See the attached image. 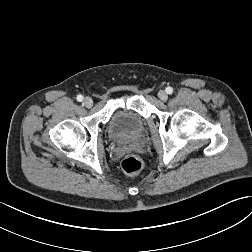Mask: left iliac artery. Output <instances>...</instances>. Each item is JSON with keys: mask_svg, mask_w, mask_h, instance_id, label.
<instances>
[{"mask_svg": "<svg viewBox=\"0 0 252 252\" xmlns=\"http://www.w3.org/2000/svg\"><path fill=\"white\" fill-rule=\"evenodd\" d=\"M166 92H167L168 94H172V93H173V88H172V87H167V88H166Z\"/></svg>", "mask_w": 252, "mask_h": 252, "instance_id": "obj_1", "label": "left iliac artery"}]
</instances>
